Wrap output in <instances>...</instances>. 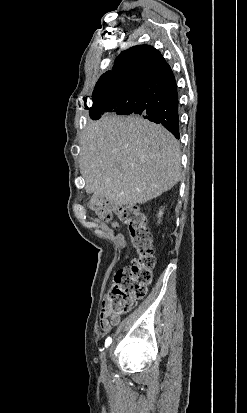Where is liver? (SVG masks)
Here are the masks:
<instances>
[{
    "label": "liver",
    "instance_id": "obj_1",
    "mask_svg": "<svg viewBox=\"0 0 247 413\" xmlns=\"http://www.w3.org/2000/svg\"><path fill=\"white\" fill-rule=\"evenodd\" d=\"M180 162L175 136L141 116L103 114L82 132L79 166L85 190L118 207L170 190L180 178Z\"/></svg>",
    "mask_w": 247,
    "mask_h": 413
}]
</instances>
